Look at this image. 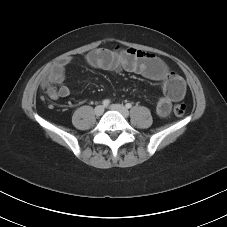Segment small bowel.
Listing matches in <instances>:
<instances>
[{"mask_svg":"<svg viewBox=\"0 0 227 227\" xmlns=\"http://www.w3.org/2000/svg\"><path fill=\"white\" fill-rule=\"evenodd\" d=\"M87 63L96 69L127 72L140 74L154 81L163 83V95L159 98L156 112L159 117H166L173 102L183 98L185 85L183 80L171 73L166 63L152 53L137 50L134 48H97L86 55ZM69 60L53 65L44 75L43 80H48L52 84L58 85L51 98L67 97L70 89L63 83L65 77V67Z\"/></svg>","mask_w":227,"mask_h":227,"instance_id":"c3829d8e","label":"small bowel"}]
</instances>
